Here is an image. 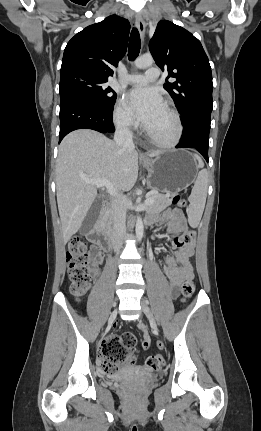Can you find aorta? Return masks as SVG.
Instances as JSON below:
<instances>
[{"label": "aorta", "mask_w": 261, "mask_h": 431, "mask_svg": "<svg viewBox=\"0 0 261 431\" xmlns=\"http://www.w3.org/2000/svg\"><path fill=\"white\" fill-rule=\"evenodd\" d=\"M134 64L138 69L148 68L153 64V58L149 55H144L137 58ZM143 231H144V226H143L142 218L138 217L136 221V236L139 241L143 237Z\"/></svg>", "instance_id": "762f6f07"}]
</instances>
